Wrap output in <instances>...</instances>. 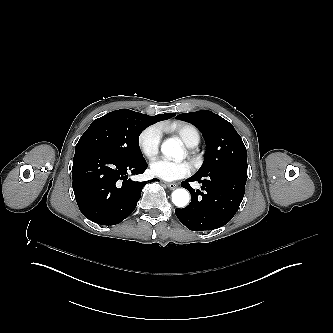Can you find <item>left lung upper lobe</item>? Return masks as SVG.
Here are the masks:
<instances>
[{
  "mask_svg": "<svg viewBox=\"0 0 333 333\" xmlns=\"http://www.w3.org/2000/svg\"><path fill=\"white\" fill-rule=\"evenodd\" d=\"M176 119L193 123L206 141L205 160L195 176L206 178L227 166H247L246 147L227 120L207 110L183 113Z\"/></svg>",
  "mask_w": 333,
  "mask_h": 333,
  "instance_id": "5c2ea615",
  "label": "left lung upper lobe"
}]
</instances>
